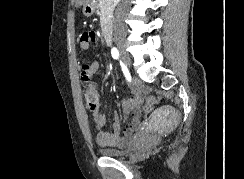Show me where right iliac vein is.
Wrapping results in <instances>:
<instances>
[{
  "instance_id": "obj_1",
  "label": "right iliac vein",
  "mask_w": 244,
  "mask_h": 179,
  "mask_svg": "<svg viewBox=\"0 0 244 179\" xmlns=\"http://www.w3.org/2000/svg\"><path fill=\"white\" fill-rule=\"evenodd\" d=\"M117 49L120 52L121 60L123 61V63L126 65V67L130 68L131 66L130 56L125 50L123 42L117 44Z\"/></svg>"
}]
</instances>
